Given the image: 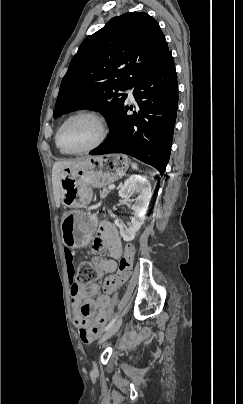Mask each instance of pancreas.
Here are the masks:
<instances>
[{
  "mask_svg": "<svg viewBox=\"0 0 243 404\" xmlns=\"http://www.w3.org/2000/svg\"><path fill=\"white\" fill-rule=\"evenodd\" d=\"M110 190H107V188H102V192H100L101 196L100 198H106L108 196Z\"/></svg>",
  "mask_w": 243,
  "mask_h": 404,
  "instance_id": "obj_1",
  "label": "pancreas"
}]
</instances>
